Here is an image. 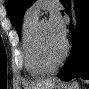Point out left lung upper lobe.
<instances>
[{
	"label": "left lung upper lobe",
	"instance_id": "1",
	"mask_svg": "<svg viewBox=\"0 0 89 89\" xmlns=\"http://www.w3.org/2000/svg\"><path fill=\"white\" fill-rule=\"evenodd\" d=\"M35 0H6L7 14L15 26L19 36L21 35L22 20L25 11L34 3Z\"/></svg>",
	"mask_w": 89,
	"mask_h": 89
}]
</instances>
